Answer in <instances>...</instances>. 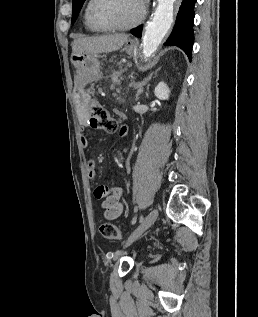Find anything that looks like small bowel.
Segmentation results:
<instances>
[{
	"instance_id": "c3829d8e",
	"label": "small bowel",
	"mask_w": 258,
	"mask_h": 317,
	"mask_svg": "<svg viewBox=\"0 0 258 317\" xmlns=\"http://www.w3.org/2000/svg\"><path fill=\"white\" fill-rule=\"evenodd\" d=\"M127 129L121 126L119 134L126 135ZM81 145L86 148L89 145V138L86 131H82L80 135ZM86 172L89 178H94L96 175L95 161L89 159L86 162ZM123 190L115 184H102L98 185L94 190L96 199H102L101 209L104 211V217L107 220H114L119 217L123 211L122 203Z\"/></svg>"
}]
</instances>
